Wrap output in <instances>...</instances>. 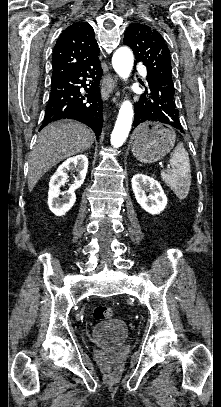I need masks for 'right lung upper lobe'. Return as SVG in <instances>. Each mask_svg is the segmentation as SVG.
Masks as SVG:
<instances>
[{
  "label": "right lung upper lobe",
  "mask_w": 221,
  "mask_h": 407,
  "mask_svg": "<svg viewBox=\"0 0 221 407\" xmlns=\"http://www.w3.org/2000/svg\"><path fill=\"white\" fill-rule=\"evenodd\" d=\"M100 49L92 26L77 22L59 36L53 52L52 80H55L98 57Z\"/></svg>",
  "instance_id": "1"
}]
</instances>
